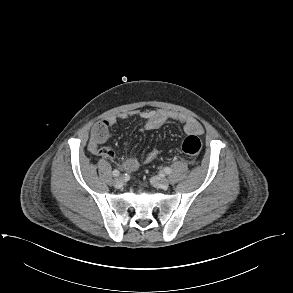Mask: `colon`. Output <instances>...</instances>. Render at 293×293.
<instances>
[{
	"instance_id": "colon-1",
	"label": "colon",
	"mask_w": 293,
	"mask_h": 293,
	"mask_svg": "<svg viewBox=\"0 0 293 293\" xmlns=\"http://www.w3.org/2000/svg\"><path fill=\"white\" fill-rule=\"evenodd\" d=\"M105 139V128L99 124L92 130L91 146H96L94 152L97 154H103L106 149H99L98 143ZM202 148L200 139L197 136H187L181 143V150L184 154L189 156H197Z\"/></svg>"
}]
</instances>
